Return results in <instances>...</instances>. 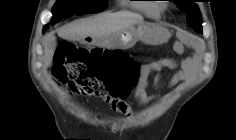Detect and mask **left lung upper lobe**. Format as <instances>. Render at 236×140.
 Wrapping results in <instances>:
<instances>
[{
    "label": "left lung upper lobe",
    "mask_w": 236,
    "mask_h": 140,
    "mask_svg": "<svg viewBox=\"0 0 236 140\" xmlns=\"http://www.w3.org/2000/svg\"><path fill=\"white\" fill-rule=\"evenodd\" d=\"M177 7L187 13V22L197 33L202 34V18L194 0H172Z\"/></svg>",
    "instance_id": "left-lung-upper-lobe-1"
}]
</instances>
